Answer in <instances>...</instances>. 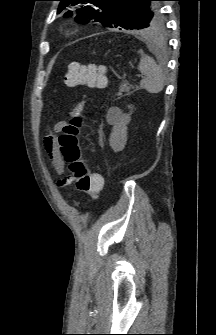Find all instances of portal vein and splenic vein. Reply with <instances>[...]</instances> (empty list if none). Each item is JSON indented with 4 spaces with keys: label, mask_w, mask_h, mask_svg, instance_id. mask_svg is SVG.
<instances>
[{
    "label": "portal vein and splenic vein",
    "mask_w": 216,
    "mask_h": 335,
    "mask_svg": "<svg viewBox=\"0 0 216 335\" xmlns=\"http://www.w3.org/2000/svg\"><path fill=\"white\" fill-rule=\"evenodd\" d=\"M138 78L143 77L142 75H137Z\"/></svg>",
    "instance_id": "obj_1"
}]
</instances>
